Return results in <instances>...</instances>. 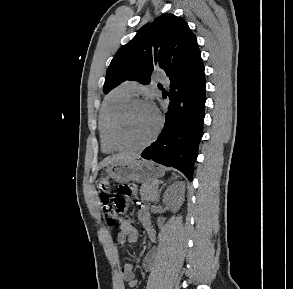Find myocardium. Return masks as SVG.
Returning a JSON list of instances; mask_svg holds the SVG:
<instances>
[{"instance_id":"obj_1","label":"myocardium","mask_w":293,"mask_h":289,"mask_svg":"<svg viewBox=\"0 0 293 289\" xmlns=\"http://www.w3.org/2000/svg\"><path fill=\"white\" fill-rule=\"evenodd\" d=\"M137 104L147 105V103L140 98H130L128 101H126L120 107V109L117 111V113L115 114V116L112 120L110 133H109V141L112 144V146L118 151H139V150H142V149L148 147L149 145H151L156 140V138L158 137V135L162 129V125H163L162 118L157 111H154V113L156 115V119H157V124H156V128H155L154 132L152 133V135L150 136V138L147 141H145L144 143H141L138 145H128V144L124 143L119 136L120 124H121V121L123 120L124 116L126 115V113L129 111V109Z\"/></svg>"}]
</instances>
